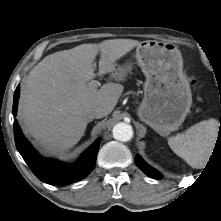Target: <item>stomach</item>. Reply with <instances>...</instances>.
Wrapping results in <instances>:
<instances>
[{
    "label": "stomach",
    "instance_id": "1",
    "mask_svg": "<svg viewBox=\"0 0 221 221\" xmlns=\"http://www.w3.org/2000/svg\"><path fill=\"white\" fill-rule=\"evenodd\" d=\"M135 57L146 77L138 117L160 135L177 130L192 105L180 50L171 43L149 40L137 46ZM130 70L131 65H115L112 75L121 80Z\"/></svg>",
    "mask_w": 221,
    "mask_h": 221
}]
</instances>
